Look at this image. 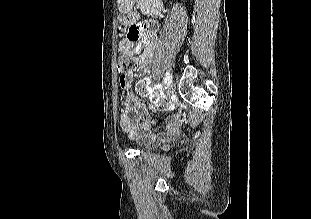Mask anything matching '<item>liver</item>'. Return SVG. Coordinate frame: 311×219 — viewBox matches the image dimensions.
I'll return each mask as SVG.
<instances>
[{"label":"liver","mask_w":311,"mask_h":219,"mask_svg":"<svg viewBox=\"0 0 311 219\" xmlns=\"http://www.w3.org/2000/svg\"><path fill=\"white\" fill-rule=\"evenodd\" d=\"M131 1L132 0H117L120 13H124L129 10Z\"/></svg>","instance_id":"1"}]
</instances>
